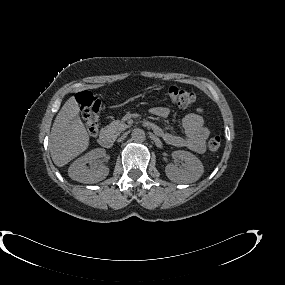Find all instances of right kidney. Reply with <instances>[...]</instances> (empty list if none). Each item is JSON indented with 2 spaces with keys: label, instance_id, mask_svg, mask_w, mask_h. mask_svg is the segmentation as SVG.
<instances>
[{
  "label": "right kidney",
  "instance_id": "right-kidney-1",
  "mask_svg": "<svg viewBox=\"0 0 285 285\" xmlns=\"http://www.w3.org/2000/svg\"><path fill=\"white\" fill-rule=\"evenodd\" d=\"M103 154L104 150L97 148L75 160L69 167V177L81 183H96L105 179L109 174V168L106 165H97L95 168L86 167L87 163L94 162L97 158L102 157Z\"/></svg>",
  "mask_w": 285,
  "mask_h": 285
}]
</instances>
